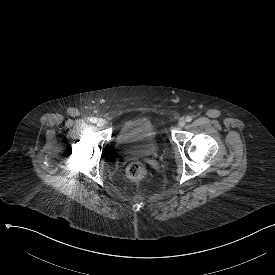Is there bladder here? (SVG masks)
I'll return each instance as SVG.
<instances>
[{
	"instance_id": "31cf9c89",
	"label": "bladder",
	"mask_w": 275,
	"mask_h": 275,
	"mask_svg": "<svg viewBox=\"0 0 275 275\" xmlns=\"http://www.w3.org/2000/svg\"><path fill=\"white\" fill-rule=\"evenodd\" d=\"M116 143L120 150L151 158L159 151L153 120L148 116H139L122 123L116 132Z\"/></svg>"
}]
</instances>
